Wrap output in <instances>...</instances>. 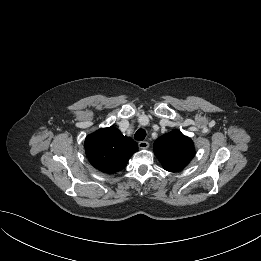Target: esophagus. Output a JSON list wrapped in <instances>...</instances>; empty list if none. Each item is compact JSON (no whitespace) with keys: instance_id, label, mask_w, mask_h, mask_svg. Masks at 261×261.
Returning <instances> with one entry per match:
<instances>
[{"instance_id":"34e87169","label":"esophagus","mask_w":261,"mask_h":261,"mask_svg":"<svg viewBox=\"0 0 261 261\" xmlns=\"http://www.w3.org/2000/svg\"><path fill=\"white\" fill-rule=\"evenodd\" d=\"M138 147L140 149H147L149 147V143L147 141H140L138 143Z\"/></svg>"}]
</instances>
